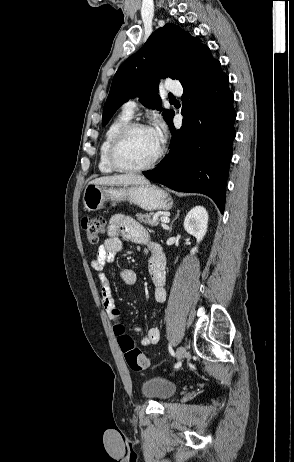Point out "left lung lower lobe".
I'll use <instances>...</instances> for the list:
<instances>
[{
	"label": "left lung lower lobe",
	"instance_id": "1",
	"mask_svg": "<svg viewBox=\"0 0 294 462\" xmlns=\"http://www.w3.org/2000/svg\"><path fill=\"white\" fill-rule=\"evenodd\" d=\"M182 86V127L175 131L172 117L170 152L144 175L176 191L206 194L223 213L236 135L229 78L212 59Z\"/></svg>",
	"mask_w": 294,
	"mask_h": 462
}]
</instances>
